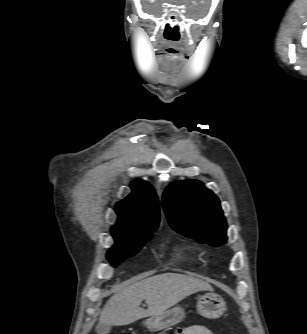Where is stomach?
<instances>
[{
  "mask_svg": "<svg viewBox=\"0 0 307 334\" xmlns=\"http://www.w3.org/2000/svg\"><path fill=\"white\" fill-rule=\"evenodd\" d=\"M197 311L208 319H217L226 311V303L218 294L205 293L198 298ZM184 318V309L176 306L151 316L143 324L151 331H160L180 323Z\"/></svg>",
  "mask_w": 307,
  "mask_h": 334,
  "instance_id": "0dacf381",
  "label": "stomach"
}]
</instances>
